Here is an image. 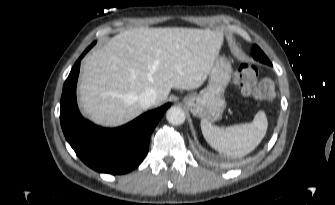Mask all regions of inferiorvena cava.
Masks as SVG:
<instances>
[{
    "mask_svg": "<svg viewBox=\"0 0 335 205\" xmlns=\"http://www.w3.org/2000/svg\"><path fill=\"white\" fill-rule=\"evenodd\" d=\"M157 92L153 88H148L138 96V103L143 108H149L156 103Z\"/></svg>",
    "mask_w": 335,
    "mask_h": 205,
    "instance_id": "inferior-vena-cava-1",
    "label": "inferior vena cava"
}]
</instances>
